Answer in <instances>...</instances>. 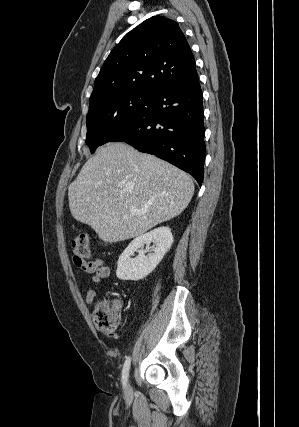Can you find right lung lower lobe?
Wrapping results in <instances>:
<instances>
[{
	"instance_id": "98d812e1",
	"label": "right lung lower lobe",
	"mask_w": 299,
	"mask_h": 427,
	"mask_svg": "<svg viewBox=\"0 0 299 427\" xmlns=\"http://www.w3.org/2000/svg\"><path fill=\"white\" fill-rule=\"evenodd\" d=\"M202 91L197 76L160 88L147 111L110 142H125L191 174L201 186L204 177Z\"/></svg>"
}]
</instances>
